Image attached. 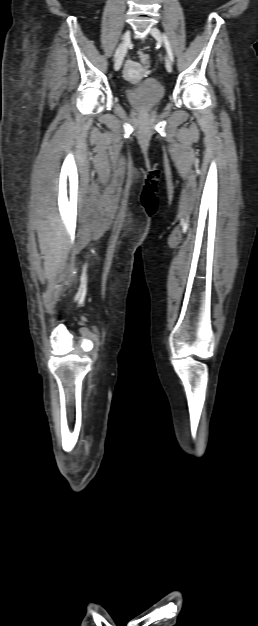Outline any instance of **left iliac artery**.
<instances>
[{
	"label": "left iliac artery",
	"mask_w": 258,
	"mask_h": 626,
	"mask_svg": "<svg viewBox=\"0 0 258 626\" xmlns=\"http://www.w3.org/2000/svg\"><path fill=\"white\" fill-rule=\"evenodd\" d=\"M163 38H164V43H165V47H166L167 53L169 55V58L173 62L174 61V56H173V52H172L170 43H169V41L167 39V36L165 34L163 35Z\"/></svg>",
	"instance_id": "left-iliac-artery-1"
}]
</instances>
